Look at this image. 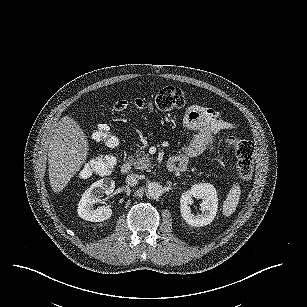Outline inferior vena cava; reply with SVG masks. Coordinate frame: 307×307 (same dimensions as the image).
<instances>
[{"label":"inferior vena cava","instance_id":"602c4592","mask_svg":"<svg viewBox=\"0 0 307 307\" xmlns=\"http://www.w3.org/2000/svg\"><path fill=\"white\" fill-rule=\"evenodd\" d=\"M139 180H140V177L138 174L131 173L127 176L126 183L131 187H135L136 185H138Z\"/></svg>","mask_w":307,"mask_h":307}]
</instances>
